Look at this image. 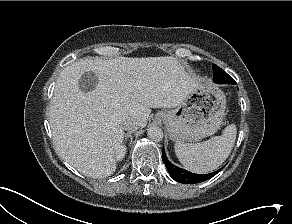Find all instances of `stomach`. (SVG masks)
Segmentation results:
<instances>
[{
    "label": "stomach",
    "mask_w": 292,
    "mask_h": 224,
    "mask_svg": "<svg viewBox=\"0 0 292 224\" xmlns=\"http://www.w3.org/2000/svg\"><path fill=\"white\" fill-rule=\"evenodd\" d=\"M226 96L210 80L201 79L196 90L175 109L157 113L174 142H194L216 133L225 115Z\"/></svg>",
    "instance_id": "1"
}]
</instances>
